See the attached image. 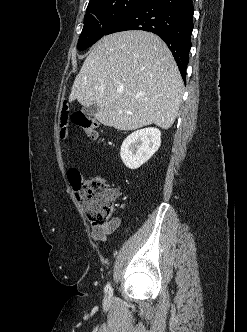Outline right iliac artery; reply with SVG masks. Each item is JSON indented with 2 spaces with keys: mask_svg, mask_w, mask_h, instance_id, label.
Masks as SVG:
<instances>
[{
  "mask_svg": "<svg viewBox=\"0 0 247 332\" xmlns=\"http://www.w3.org/2000/svg\"><path fill=\"white\" fill-rule=\"evenodd\" d=\"M111 291V286L110 283H108L105 287V292H110Z\"/></svg>",
  "mask_w": 247,
  "mask_h": 332,
  "instance_id": "obj_1",
  "label": "right iliac artery"
}]
</instances>
